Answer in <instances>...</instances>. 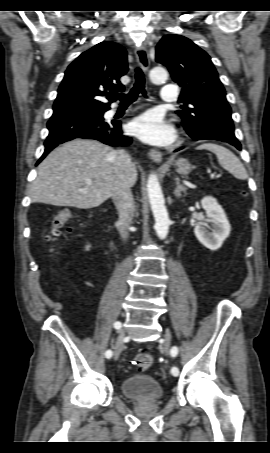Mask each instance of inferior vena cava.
Listing matches in <instances>:
<instances>
[{"instance_id":"602c4592","label":"inferior vena cava","mask_w":270,"mask_h":453,"mask_svg":"<svg viewBox=\"0 0 270 453\" xmlns=\"http://www.w3.org/2000/svg\"><path fill=\"white\" fill-rule=\"evenodd\" d=\"M112 155L117 170V181L112 198L119 213V232L126 240L129 236L128 228L134 217V200L128 177L132 162L130 155L124 150L114 151Z\"/></svg>"}]
</instances>
